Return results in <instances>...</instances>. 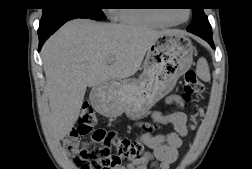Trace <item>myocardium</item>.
Returning <instances> with one entry per match:
<instances>
[{
    "instance_id": "1",
    "label": "myocardium",
    "mask_w": 252,
    "mask_h": 169,
    "mask_svg": "<svg viewBox=\"0 0 252 169\" xmlns=\"http://www.w3.org/2000/svg\"><path fill=\"white\" fill-rule=\"evenodd\" d=\"M153 17L155 19H157V20L165 23V24L178 25V24H182V23L186 22L189 19V17H190V10H187V16H186V18L183 21H180V22L171 21V20H169L166 17L161 16V15H153Z\"/></svg>"
}]
</instances>
